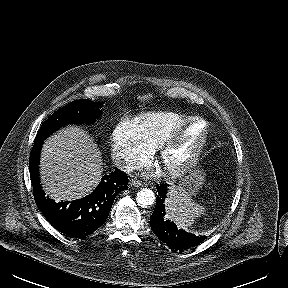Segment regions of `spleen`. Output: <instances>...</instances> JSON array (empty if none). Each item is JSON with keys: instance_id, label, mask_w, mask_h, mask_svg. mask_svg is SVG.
<instances>
[{"instance_id": "spleen-1", "label": "spleen", "mask_w": 288, "mask_h": 288, "mask_svg": "<svg viewBox=\"0 0 288 288\" xmlns=\"http://www.w3.org/2000/svg\"><path fill=\"white\" fill-rule=\"evenodd\" d=\"M166 218L173 221L181 228L191 226L197 217L204 212V207L195 203L193 199L185 194H178L171 188L169 196L165 201Z\"/></svg>"}]
</instances>
